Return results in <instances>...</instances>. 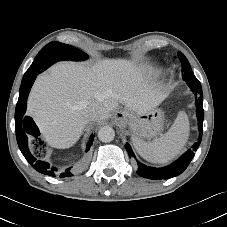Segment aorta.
<instances>
[{
	"label": "aorta",
	"instance_id": "aorta-1",
	"mask_svg": "<svg viewBox=\"0 0 227 227\" xmlns=\"http://www.w3.org/2000/svg\"><path fill=\"white\" fill-rule=\"evenodd\" d=\"M115 137V131L110 126H103L98 131V138L104 143L111 142Z\"/></svg>",
	"mask_w": 227,
	"mask_h": 227
}]
</instances>
